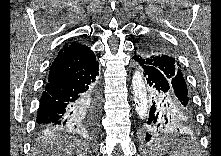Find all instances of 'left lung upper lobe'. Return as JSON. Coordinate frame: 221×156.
<instances>
[{
  "label": "left lung upper lobe",
  "mask_w": 221,
  "mask_h": 156,
  "mask_svg": "<svg viewBox=\"0 0 221 156\" xmlns=\"http://www.w3.org/2000/svg\"><path fill=\"white\" fill-rule=\"evenodd\" d=\"M135 50L138 51L136 60L140 63L162 69L173 76L177 98L184 106L193 109L192 100L179 62L172 56L166 45L155 38L142 42Z\"/></svg>",
  "instance_id": "obj_1"
}]
</instances>
